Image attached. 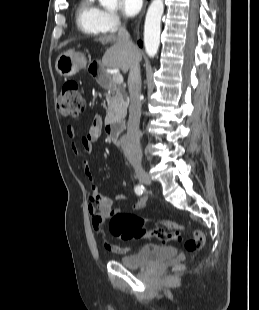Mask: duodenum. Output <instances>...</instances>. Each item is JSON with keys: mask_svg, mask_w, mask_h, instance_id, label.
I'll return each mask as SVG.
<instances>
[{"mask_svg": "<svg viewBox=\"0 0 259 310\" xmlns=\"http://www.w3.org/2000/svg\"><path fill=\"white\" fill-rule=\"evenodd\" d=\"M89 72L96 77L103 86L107 87L110 85L109 77L101 70V67L98 64H90ZM120 129L121 125L117 122L108 121L105 126L107 136L113 141L117 140Z\"/></svg>", "mask_w": 259, "mask_h": 310, "instance_id": "obj_1", "label": "duodenum"}]
</instances>
